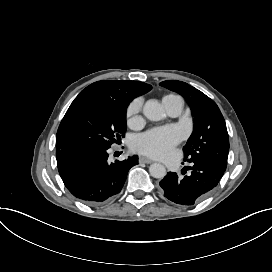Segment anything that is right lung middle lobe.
Listing matches in <instances>:
<instances>
[{"mask_svg": "<svg viewBox=\"0 0 272 272\" xmlns=\"http://www.w3.org/2000/svg\"><path fill=\"white\" fill-rule=\"evenodd\" d=\"M128 104L97 97L76 98L57 131L56 149L102 148L124 137Z\"/></svg>", "mask_w": 272, "mask_h": 272, "instance_id": "right-lung-middle-lobe-1", "label": "right lung middle lobe"}]
</instances>
